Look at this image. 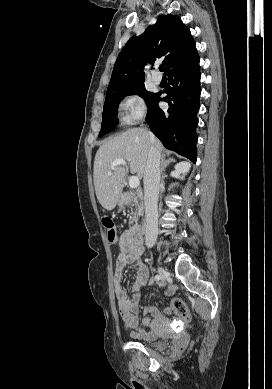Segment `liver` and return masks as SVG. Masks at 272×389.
Returning <instances> with one entry per match:
<instances>
[{
  "instance_id": "6515ba94",
  "label": "liver",
  "mask_w": 272,
  "mask_h": 389,
  "mask_svg": "<svg viewBox=\"0 0 272 389\" xmlns=\"http://www.w3.org/2000/svg\"><path fill=\"white\" fill-rule=\"evenodd\" d=\"M150 132L143 128H131L104 142L94 160V186L97 199L103 208H115L122 194L123 179L128 168L122 165L111 168L116 159L129 162L130 172L139 179L144 177L149 148L152 144ZM154 145L161 153L163 145L154 137ZM109 172L111 175H109Z\"/></svg>"
}]
</instances>
